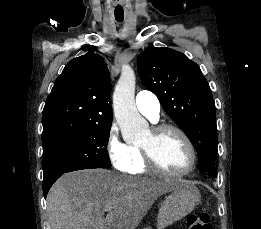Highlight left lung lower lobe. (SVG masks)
<instances>
[{
	"label": "left lung lower lobe",
	"instance_id": "0a47b994",
	"mask_svg": "<svg viewBox=\"0 0 261 229\" xmlns=\"http://www.w3.org/2000/svg\"><path fill=\"white\" fill-rule=\"evenodd\" d=\"M204 173L210 175L211 177H216L217 174L215 166L211 167L209 170H207Z\"/></svg>",
	"mask_w": 261,
	"mask_h": 229
}]
</instances>
